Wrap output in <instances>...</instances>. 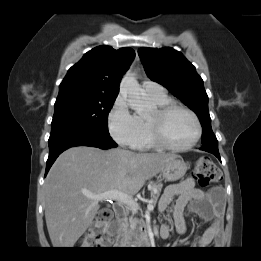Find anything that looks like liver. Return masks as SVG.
<instances>
[{
  "label": "liver",
  "mask_w": 261,
  "mask_h": 261,
  "mask_svg": "<svg viewBox=\"0 0 261 261\" xmlns=\"http://www.w3.org/2000/svg\"><path fill=\"white\" fill-rule=\"evenodd\" d=\"M175 157L88 146L64 151L44 184L45 219L53 247L72 248L93 223L100 205L87 194L118 190L135 195Z\"/></svg>",
  "instance_id": "liver-1"
}]
</instances>
